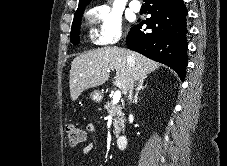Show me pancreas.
I'll return each mask as SVG.
<instances>
[{"instance_id": "1", "label": "pancreas", "mask_w": 227, "mask_h": 166, "mask_svg": "<svg viewBox=\"0 0 227 166\" xmlns=\"http://www.w3.org/2000/svg\"><path fill=\"white\" fill-rule=\"evenodd\" d=\"M104 108L108 111L109 114L113 117V126H114V134L116 136L119 135L120 131L124 128V113L122 111V107L118 104H113L112 101H108Z\"/></svg>"}]
</instances>
